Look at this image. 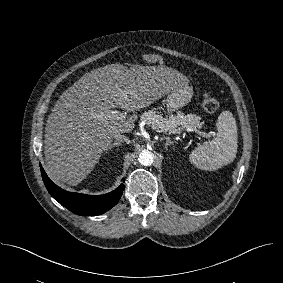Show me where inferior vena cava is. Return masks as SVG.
I'll list each match as a JSON object with an SVG mask.
<instances>
[{"instance_id":"obj_1","label":"inferior vena cava","mask_w":283,"mask_h":283,"mask_svg":"<svg viewBox=\"0 0 283 283\" xmlns=\"http://www.w3.org/2000/svg\"><path fill=\"white\" fill-rule=\"evenodd\" d=\"M114 138L116 141L130 143V139L120 133L115 134Z\"/></svg>"}]
</instances>
